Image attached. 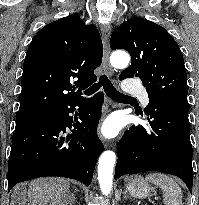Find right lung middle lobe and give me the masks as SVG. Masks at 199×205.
Masks as SVG:
<instances>
[{"instance_id":"1","label":"right lung middle lobe","mask_w":199,"mask_h":205,"mask_svg":"<svg viewBox=\"0 0 199 205\" xmlns=\"http://www.w3.org/2000/svg\"><path fill=\"white\" fill-rule=\"evenodd\" d=\"M48 116L49 114L46 113V114H41V115H36V116L16 118L17 124L15 128V133L27 129L28 127L36 124L37 122L45 119Z\"/></svg>"}]
</instances>
